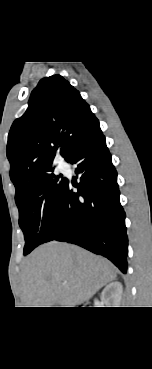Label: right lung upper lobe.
Listing matches in <instances>:
<instances>
[{"label":"right lung upper lobe","mask_w":152,"mask_h":369,"mask_svg":"<svg viewBox=\"0 0 152 369\" xmlns=\"http://www.w3.org/2000/svg\"><path fill=\"white\" fill-rule=\"evenodd\" d=\"M99 129L89 105L62 76L40 80L26 112L13 122L8 135L7 157L15 198L53 169L57 151L68 161Z\"/></svg>","instance_id":"cb5924a9"}]
</instances>
